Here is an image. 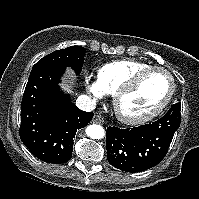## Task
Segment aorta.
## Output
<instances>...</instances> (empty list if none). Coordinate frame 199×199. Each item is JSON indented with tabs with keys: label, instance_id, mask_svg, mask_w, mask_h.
<instances>
[{
	"label": "aorta",
	"instance_id": "aorta-1",
	"mask_svg": "<svg viewBox=\"0 0 199 199\" xmlns=\"http://www.w3.org/2000/svg\"><path fill=\"white\" fill-rule=\"evenodd\" d=\"M86 134L92 139H101L105 136V130L102 126L92 124L86 128Z\"/></svg>",
	"mask_w": 199,
	"mask_h": 199
}]
</instances>
